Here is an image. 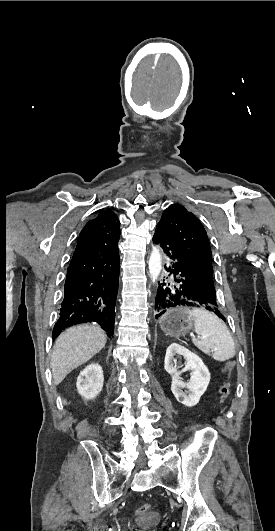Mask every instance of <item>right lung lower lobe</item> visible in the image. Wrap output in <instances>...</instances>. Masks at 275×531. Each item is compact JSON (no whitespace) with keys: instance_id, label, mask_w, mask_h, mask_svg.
<instances>
[{"instance_id":"right-lung-lower-lobe-1","label":"right lung lower lobe","mask_w":275,"mask_h":531,"mask_svg":"<svg viewBox=\"0 0 275 531\" xmlns=\"http://www.w3.org/2000/svg\"><path fill=\"white\" fill-rule=\"evenodd\" d=\"M119 237L120 233H109L77 243L67 270L60 317L53 328L54 338L64 329L85 322H97L108 336L113 335Z\"/></svg>"}]
</instances>
